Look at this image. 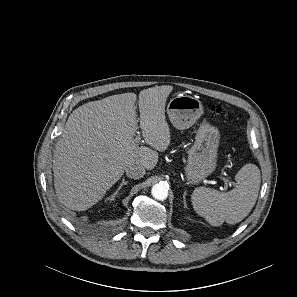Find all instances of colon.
Returning a JSON list of instances; mask_svg holds the SVG:
<instances>
[{
  "label": "colon",
  "mask_w": 297,
  "mask_h": 297,
  "mask_svg": "<svg viewBox=\"0 0 297 297\" xmlns=\"http://www.w3.org/2000/svg\"><path fill=\"white\" fill-rule=\"evenodd\" d=\"M211 112L216 114V115H222L224 113L223 109L219 106H212L211 107Z\"/></svg>",
  "instance_id": "5ec220e1"
}]
</instances>
